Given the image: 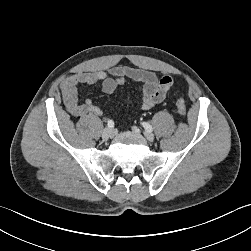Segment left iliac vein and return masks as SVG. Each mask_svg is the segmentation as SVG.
Wrapping results in <instances>:
<instances>
[{"label":"left iliac vein","mask_w":251,"mask_h":251,"mask_svg":"<svg viewBox=\"0 0 251 251\" xmlns=\"http://www.w3.org/2000/svg\"><path fill=\"white\" fill-rule=\"evenodd\" d=\"M132 129H133L135 132H137V133H139V131H140L137 127H133ZM143 134H144L145 138H146L148 141L152 142V141L154 140V135H153V133L148 132V131H144Z\"/></svg>","instance_id":"4c4485c4"}]
</instances>
